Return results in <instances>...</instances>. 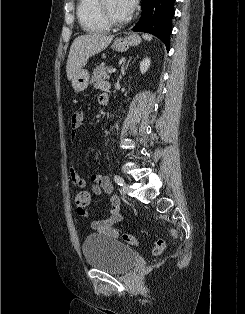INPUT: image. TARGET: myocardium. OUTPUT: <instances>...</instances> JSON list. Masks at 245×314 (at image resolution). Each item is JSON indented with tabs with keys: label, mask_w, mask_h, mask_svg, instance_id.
I'll use <instances>...</instances> for the list:
<instances>
[{
	"label": "myocardium",
	"mask_w": 245,
	"mask_h": 314,
	"mask_svg": "<svg viewBox=\"0 0 245 314\" xmlns=\"http://www.w3.org/2000/svg\"><path fill=\"white\" fill-rule=\"evenodd\" d=\"M104 1L105 0H97L96 11L100 20L107 26V27H122L128 24L132 19V13H130L125 19L123 20H113L111 19L104 8Z\"/></svg>",
	"instance_id": "f54148a6"
}]
</instances>
